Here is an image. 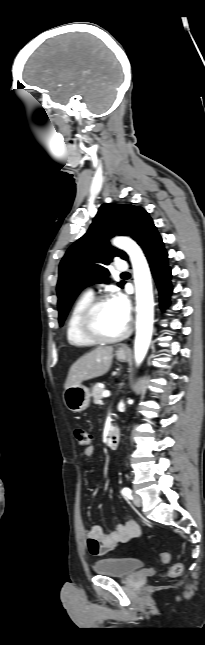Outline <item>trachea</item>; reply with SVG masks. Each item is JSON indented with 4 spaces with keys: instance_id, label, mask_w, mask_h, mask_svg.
<instances>
[{
    "instance_id": "1",
    "label": "trachea",
    "mask_w": 205,
    "mask_h": 645,
    "mask_svg": "<svg viewBox=\"0 0 205 645\" xmlns=\"http://www.w3.org/2000/svg\"><path fill=\"white\" fill-rule=\"evenodd\" d=\"M126 274H128V272H124V273H122V275H126Z\"/></svg>"
}]
</instances>
